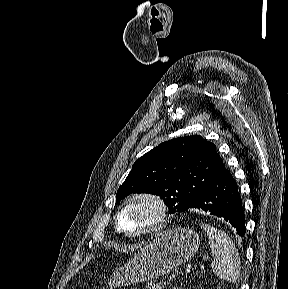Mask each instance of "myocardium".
<instances>
[{
    "instance_id": "f54148a6",
    "label": "myocardium",
    "mask_w": 288,
    "mask_h": 289,
    "mask_svg": "<svg viewBox=\"0 0 288 289\" xmlns=\"http://www.w3.org/2000/svg\"><path fill=\"white\" fill-rule=\"evenodd\" d=\"M138 201L149 203L155 210V217L153 221L144 229L136 232H126L120 225V216L122 212L131 204ZM167 221V206L165 201L159 196L151 192L136 193L127 198L116 212L115 227L119 233L129 238H141L148 235L155 234L162 230Z\"/></svg>"
}]
</instances>
